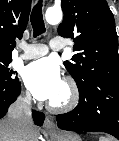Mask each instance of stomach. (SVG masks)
<instances>
[{"label":"stomach","instance_id":"1","mask_svg":"<svg viewBox=\"0 0 119 141\" xmlns=\"http://www.w3.org/2000/svg\"><path fill=\"white\" fill-rule=\"evenodd\" d=\"M52 141H82L81 138L75 133H61L52 136Z\"/></svg>","mask_w":119,"mask_h":141}]
</instances>
